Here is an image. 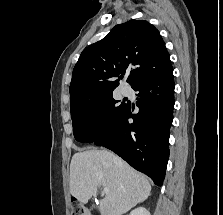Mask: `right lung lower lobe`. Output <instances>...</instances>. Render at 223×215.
Wrapping results in <instances>:
<instances>
[{
  "instance_id": "right-lung-lower-lobe-1",
  "label": "right lung lower lobe",
  "mask_w": 223,
  "mask_h": 215,
  "mask_svg": "<svg viewBox=\"0 0 223 215\" xmlns=\"http://www.w3.org/2000/svg\"><path fill=\"white\" fill-rule=\"evenodd\" d=\"M173 69L160 78L143 81L139 91L138 114H131V104L119 123L95 145L106 147L133 168L148 175L161 186L169 158V128L174 107ZM132 118L133 123L128 119Z\"/></svg>"
}]
</instances>
